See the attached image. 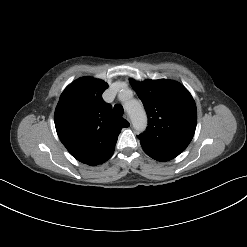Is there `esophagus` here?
<instances>
[{
    "instance_id": "obj_1",
    "label": "esophagus",
    "mask_w": 247,
    "mask_h": 247,
    "mask_svg": "<svg viewBox=\"0 0 247 247\" xmlns=\"http://www.w3.org/2000/svg\"><path fill=\"white\" fill-rule=\"evenodd\" d=\"M123 117H124V119H126L128 122H130V118H129L128 114H125Z\"/></svg>"
}]
</instances>
